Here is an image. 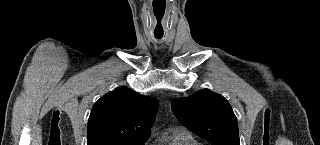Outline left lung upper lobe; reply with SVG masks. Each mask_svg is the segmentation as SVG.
I'll list each match as a JSON object with an SVG mask.
<instances>
[{
  "label": "left lung upper lobe",
  "mask_w": 320,
  "mask_h": 145,
  "mask_svg": "<svg viewBox=\"0 0 320 145\" xmlns=\"http://www.w3.org/2000/svg\"><path fill=\"white\" fill-rule=\"evenodd\" d=\"M171 108L182 125L213 145H240L236 116L223 96L203 89Z\"/></svg>",
  "instance_id": "1"
}]
</instances>
